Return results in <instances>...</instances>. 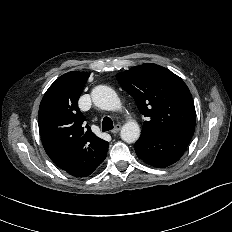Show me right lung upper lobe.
<instances>
[{
    "label": "right lung upper lobe",
    "instance_id": "obj_1",
    "mask_svg": "<svg viewBox=\"0 0 232 232\" xmlns=\"http://www.w3.org/2000/svg\"><path fill=\"white\" fill-rule=\"evenodd\" d=\"M89 73L71 71L46 91L38 122L43 147L51 160L76 177L90 175L106 158L109 143L86 124L78 99Z\"/></svg>",
    "mask_w": 232,
    "mask_h": 232
}]
</instances>
